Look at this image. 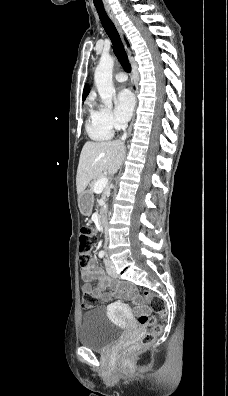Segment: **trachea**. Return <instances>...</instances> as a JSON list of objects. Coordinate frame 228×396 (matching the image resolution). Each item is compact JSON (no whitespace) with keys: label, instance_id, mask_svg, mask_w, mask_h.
<instances>
[{"label":"trachea","instance_id":"1","mask_svg":"<svg viewBox=\"0 0 228 396\" xmlns=\"http://www.w3.org/2000/svg\"><path fill=\"white\" fill-rule=\"evenodd\" d=\"M96 10L99 14L101 24L112 42L114 53L117 59L119 60L125 71L131 72V65L128 61L126 52L124 50L123 44L114 23L108 17L104 7L96 6Z\"/></svg>","mask_w":228,"mask_h":396}]
</instances>
